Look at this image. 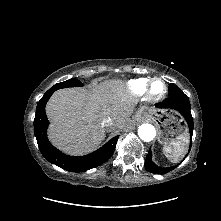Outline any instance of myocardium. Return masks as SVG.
<instances>
[{"mask_svg":"<svg viewBox=\"0 0 221 221\" xmlns=\"http://www.w3.org/2000/svg\"><path fill=\"white\" fill-rule=\"evenodd\" d=\"M155 82H160L163 85V90L159 94H155L152 91V87ZM167 92H168V87H167L166 82L159 77H154L151 80H149L148 85L145 90L146 98L152 102L159 101V100L163 99L167 95Z\"/></svg>","mask_w":221,"mask_h":221,"instance_id":"myocardium-1","label":"myocardium"}]
</instances>
